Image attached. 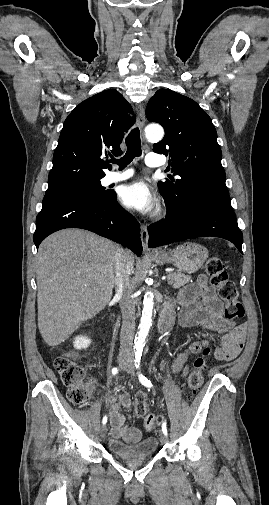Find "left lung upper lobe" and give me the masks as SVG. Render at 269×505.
<instances>
[{"instance_id":"1","label":"left lung upper lobe","mask_w":269,"mask_h":505,"mask_svg":"<svg viewBox=\"0 0 269 505\" xmlns=\"http://www.w3.org/2000/svg\"><path fill=\"white\" fill-rule=\"evenodd\" d=\"M146 117L165 129V137L153 151L168 155L173 176L158 182L165 202L186 207L196 189L229 194L217 133L207 113L192 99L169 89H160L149 100Z\"/></svg>"}]
</instances>
